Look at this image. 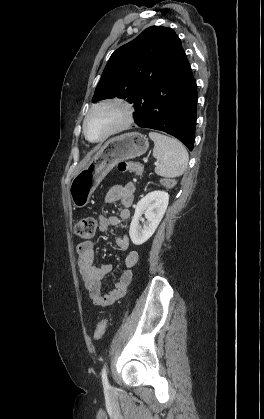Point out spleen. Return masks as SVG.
<instances>
[{"label":"spleen","mask_w":264,"mask_h":419,"mask_svg":"<svg viewBox=\"0 0 264 419\" xmlns=\"http://www.w3.org/2000/svg\"><path fill=\"white\" fill-rule=\"evenodd\" d=\"M149 137L154 141L153 156L157 159L156 174L174 178L181 176L188 166V152L176 138L165 136L158 132H150Z\"/></svg>","instance_id":"1"}]
</instances>
